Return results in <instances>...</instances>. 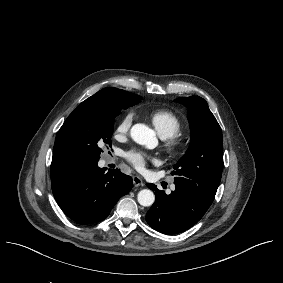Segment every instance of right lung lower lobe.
<instances>
[{
  "instance_id": "obj_1",
  "label": "right lung lower lobe",
  "mask_w": 283,
  "mask_h": 283,
  "mask_svg": "<svg viewBox=\"0 0 283 283\" xmlns=\"http://www.w3.org/2000/svg\"><path fill=\"white\" fill-rule=\"evenodd\" d=\"M97 163L93 160L81 162L51 173L52 191L58 205L80 224L104 220L133 186L130 176L119 169L105 173Z\"/></svg>"
}]
</instances>
